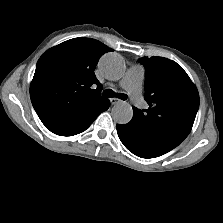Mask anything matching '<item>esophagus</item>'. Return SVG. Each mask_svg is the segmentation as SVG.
Masks as SVG:
<instances>
[{
    "label": "esophagus",
    "mask_w": 223,
    "mask_h": 223,
    "mask_svg": "<svg viewBox=\"0 0 223 223\" xmlns=\"http://www.w3.org/2000/svg\"><path fill=\"white\" fill-rule=\"evenodd\" d=\"M110 102H111V104H112V105H115V104L120 103V102H121V100H120V99H118V98H111V99H110Z\"/></svg>",
    "instance_id": "34e87169"
}]
</instances>
